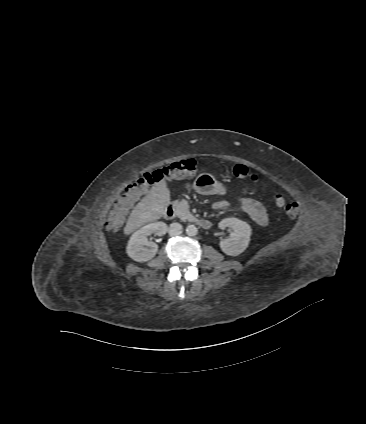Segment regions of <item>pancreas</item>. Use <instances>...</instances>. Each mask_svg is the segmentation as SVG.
<instances>
[{
    "instance_id": "1",
    "label": "pancreas",
    "mask_w": 366,
    "mask_h": 424,
    "mask_svg": "<svg viewBox=\"0 0 366 424\" xmlns=\"http://www.w3.org/2000/svg\"><path fill=\"white\" fill-rule=\"evenodd\" d=\"M177 209L179 211L180 217L183 220H195V217L189 211V204L186 200L182 199L181 201L177 202Z\"/></svg>"
}]
</instances>
